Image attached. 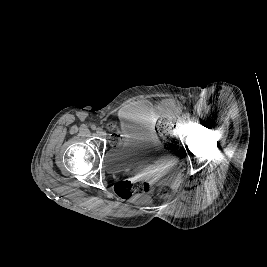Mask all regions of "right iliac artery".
<instances>
[{"label":"right iliac artery","mask_w":267,"mask_h":267,"mask_svg":"<svg viewBox=\"0 0 267 267\" xmlns=\"http://www.w3.org/2000/svg\"><path fill=\"white\" fill-rule=\"evenodd\" d=\"M91 128H92V130H96V126L95 125H92Z\"/></svg>","instance_id":"1"}]
</instances>
